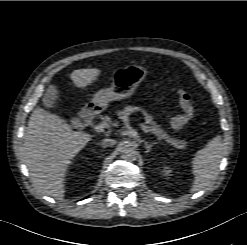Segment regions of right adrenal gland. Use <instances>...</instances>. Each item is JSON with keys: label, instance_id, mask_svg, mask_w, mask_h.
<instances>
[{"label": "right adrenal gland", "instance_id": "1", "mask_svg": "<svg viewBox=\"0 0 247 245\" xmlns=\"http://www.w3.org/2000/svg\"><path fill=\"white\" fill-rule=\"evenodd\" d=\"M98 145H100L103 148H106L107 147V145L106 144H103V143H99Z\"/></svg>", "mask_w": 247, "mask_h": 245}]
</instances>
